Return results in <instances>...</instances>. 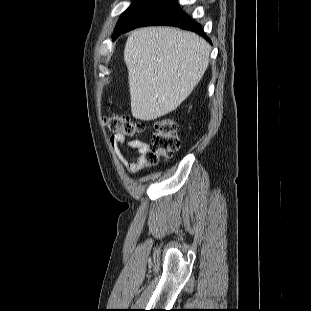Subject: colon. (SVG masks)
<instances>
[{
    "instance_id": "colon-1",
    "label": "colon",
    "mask_w": 311,
    "mask_h": 311,
    "mask_svg": "<svg viewBox=\"0 0 311 311\" xmlns=\"http://www.w3.org/2000/svg\"><path fill=\"white\" fill-rule=\"evenodd\" d=\"M104 125L114 133H120L127 137L142 133L145 124L134 121L129 117L111 115L103 119ZM177 123L170 117L158 120L154 126L149 151L145 157V165L157 164L162 159H169L180 147L177 136Z\"/></svg>"
}]
</instances>
